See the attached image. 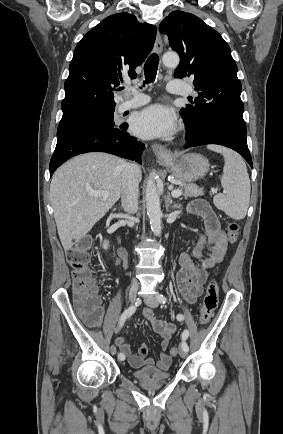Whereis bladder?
Instances as JSON below:
<instances>
[{"label": "bladder", "mask_w": 283, "mask_h": 434, "mask_svg": "<svg viewBox=\"0 0 283 434\" xmlns=\"http://www.w3.org/2000/svg\"><path fill=\"white\" fill-rule=\"evenodd\" d=\"M134 379L142 382L167 381L171 378V374L167 371H162L155 366H144L132 371Z\"/></svg>", "instance_id": "bladder-1"}]
</instances>
